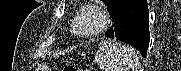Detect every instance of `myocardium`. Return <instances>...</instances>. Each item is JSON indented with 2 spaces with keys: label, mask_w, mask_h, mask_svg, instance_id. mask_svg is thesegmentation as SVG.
Returning a JSON list of instances; mask_svg holds the SVG:
<instances>
[{
  "label": "myocardium",
  "mask_w": 181,
  "mask_h": 71,
  "mask_svg": "<svg viewBox=\"0 0 181 71\" xmlns=\"http://www.w3.org/2000/svg\"><path fill=\"white\" fill-rule=\"evenodd\" d=\"M86 13H93L97 19L98 24L89 31H84L81 29V19ZM110 24V15L108 11L97 5V4H88L83 6L76 14V17L72 23V31L75 35L81 38H91L107 29Z\"/></svg>",
  "instance_id": "obj_1"
}]
</instances>
